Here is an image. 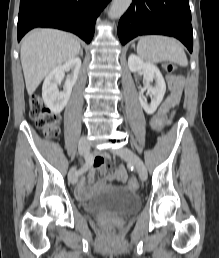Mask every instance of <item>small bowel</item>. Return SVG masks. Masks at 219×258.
<instances>
[{"mask_svg": "<svg viewBox=\"0 0 219 258\" xmlns=\"http://www.w3.org/2000/svg\"><path fill=\"white\" fill-rule=\"evenodd\" d=\"M167 83L172 90V93H168V96H164L162 101L161 113H169L170 109H175V105H180L183 97L180 96L181 89L184 85V77L180 75H168L166 77ZM170 123V121H167ZM92 168L90 169L87 179L81 178L77 186V194L83 196L87 193V182H91L94 179L95 171L99 170L101 173H105L106 167H113V162H106V155L99 154L92 158ZM112 174H102V179H129V173L126 171V167H114Z\"/></svg>", "mask_w": 219, "mask_h": 258, "instance_id": "small-bowel-1", "label": "small bowel"}]
</instances>
